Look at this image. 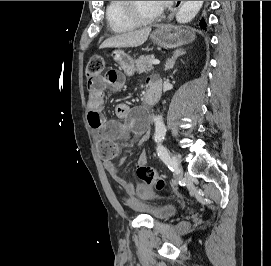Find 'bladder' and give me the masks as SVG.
<instances>
[{"mask_svg":"<svg viewBox=\"0 0 271 266\" xmlns=\"http://www.w3.org/2000/svg\"><path fill=\"white\" fill-rule=\"evenodd\" d=\"M177 207L173 205H164L151 208L147 211V215L157 220H164L175 215Z\"/></svg>","mask_w":271,"mask_h":266,"instance_id":"31cf9c89","label":"bladder"}]
</instances>
